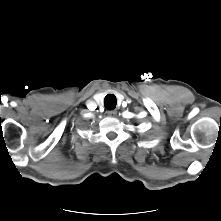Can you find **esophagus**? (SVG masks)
Returning a JSON list of instances; mask_svg holds the SVG:
<instances>
[{
  "mask_svg": "<svg viewBox=\"0 0 221 221\" xmlns=\"http://www.w3.org/2000/svg\"><path fill=\"white\" fill-rule=\"evenodd\" d=\"M108 116L114 117L117 115V110H109L107 111Z\"/></svg>",
  "mask_w": 221,
  "mask_h": 221,
  "instance_id": "1",
  "label": "esophagus"
}]
</instances>
